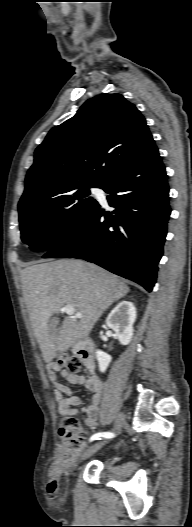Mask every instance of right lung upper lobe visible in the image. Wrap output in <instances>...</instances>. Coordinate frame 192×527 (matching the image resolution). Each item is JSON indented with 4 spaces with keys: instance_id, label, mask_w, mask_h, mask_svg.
<instances>
[{
    "instance_id": "obj_1",
    "label": "right lung upper lobe",
    "mask_w": 192,
    "mask_h": 527,
    "mask_svg": "<svg viewBox=\"0 0 192 527\" xmlns=\"http://www.w3.org/2000/svg\"><path fill=\"white\" fill-rule=\"evenodd\" d=\"M153 140L145 118L121 94H101L50 130L35 150L19 205L82 184L102 185Z\"/></svg>"
}]
</instances>
